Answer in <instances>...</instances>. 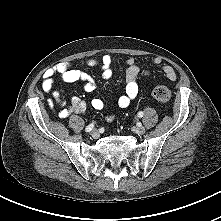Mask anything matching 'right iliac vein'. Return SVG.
Segmentation results:
<instances>
[{"instance_id": "right-iliac-vein-1", "label": "right iliac vein", "mask_w": 221, "mask_h": 221, "mask_svg": "<svg viewBox=\"0 0 221 221\" xmlns=\"http://www.w3.org/2000/svg\"><path fill=\"white\" fill-rule=\"evenodd\" d=\"M90 134L93 136V137H97L99 135L98 131L96 129H92L90 131Z\"/></svg>"}]
</instances>
